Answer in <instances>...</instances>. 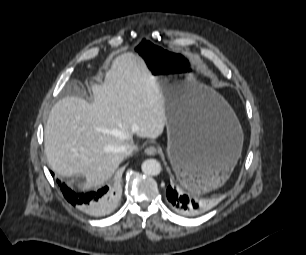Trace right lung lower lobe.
<instances>
[{
    "mask_svg": "<svg viewBox=\"0 0 306 255\" xmlns=\"http://www.w3.org/2000/svg\"><path fill=\"white\" fill-rule=\"evenodd\" d=\"M57 183L66 200L89 215L100 216L107 213L118 199L115 187L105 186L96 192L75 193L65 183H61L59 180H57Z\"/></svg>",
    "mask_w": 306,
    "mask_h": 255,
    "instance_id": "1",
    "label": "right lung lower lobe"
}]
</instances>
